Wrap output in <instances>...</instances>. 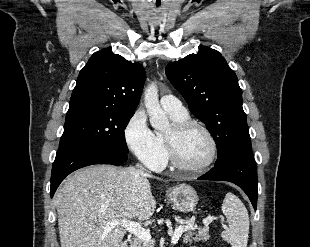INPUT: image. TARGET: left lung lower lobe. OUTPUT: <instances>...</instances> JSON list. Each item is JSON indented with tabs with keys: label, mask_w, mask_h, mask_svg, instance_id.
<instances>
[{
	"label": "left lung lower lobe",
	"mask_w": 310,
	"mask_h": 247,
	"mask_svg": "<svg viewBox=\"0 0 310 247\" xmlns=\"http://www.w3.org/2000/svg\"><path fill=\"white\" fill-rule=\"evenodd\" d=\"M198 179L215 181H229L239 187L248 195L254 209L257 207V170L252 149L246 148L233 157L215 163V166Z\"/></svg>",
	"instance_id": "0a47b994"
}]
</instances>
